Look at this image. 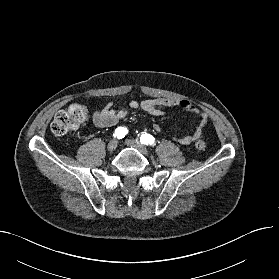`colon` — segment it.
<instances>
[{
  "mask_svg": "<svg viewBox=\"0 0 279 279\" xmlns=\"http://www.w3.org/2000/svg\"><path fill=\"white\" fill-rule=\"evenodd\" d=\"M88 111L81 103H73L66 109L59 111L51 123V131L57 136H63L72 133L80 128L86 121ZM195 147L198 151L207 149V142L200 138L196 141Z\"/></svg>",
  "mask_w": 279,
  "mask_h": 279,
  "instance_id": "1",
  "label": "colon"
}]
</instances>
